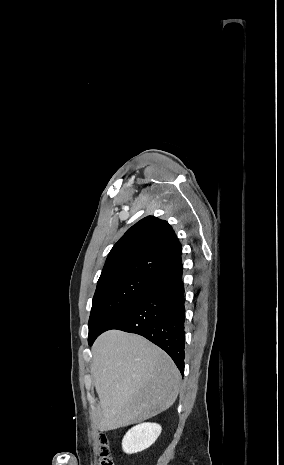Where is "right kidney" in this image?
<instances>
[{"mask_svg":"<svg viewBox=\"0 0 284 465\" xmlns=\"http://www.w3.org/2000/svg\"><path fill=\"white\" fill-rule=\"evenodd\" d=\"M162 429L157 423H141L132 427L128 433H126L122 447L124 453H140L144 449L151 447L158 439Z\"/></svg>","mask_w":284,"mask_h":465,"instance_id":"obj_1","label":"right kidney"}]
</instances>
